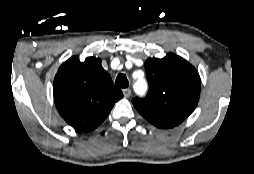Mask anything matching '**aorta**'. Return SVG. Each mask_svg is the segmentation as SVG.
<instances>
[{"label": "aorta", "instance_id": "aorta-1", "mask_svg": "<svg viewBox=\"0 0 254 174\" xmlns=\"http://www.w3.org/2000/svg\"><path fill=\"white\" fill-rule=\"evenodd\" d=\"M139 85H140L141 87H140V89L138 90V92H139L140 94H143V93L145 92V90H146L147 84H146V82H145L144 80H141V81H139Z\"/></svg>", "mask_w": 254, "mask_h": 174}]
</instances>
